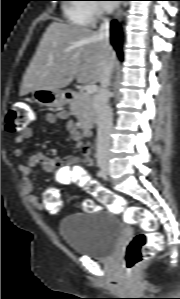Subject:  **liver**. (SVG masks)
<instances>
[{"label": "liver", "mask_w": 180, "mask_h": 299, "mask_svg": "<svg viewBox=\"0 0 180 299\" xmlns=\"http://www.w3.org/2000/svg\"><path fill=\"white\" fill-rule=\"evenodd\" d=\"M114 62L115 53L92 29L52 22L46 29L20 87V96L37 89L57 90L74 78L93 85L100 81L102 63Z\"/></svg>", "instance_id": "obj_1"}]
</instances>
